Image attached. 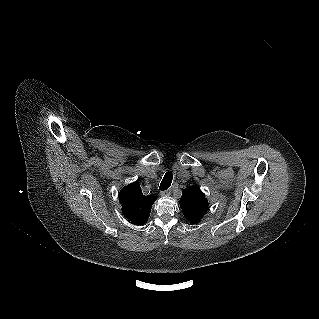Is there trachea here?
Listing matches in <instances>:
<instances>
[{"label": "trachea", "mask_w": 319, "mask_h": 319, "mask_svg": "<svg viewBox=\"0 0 319 319\" xmlns=\"http://www.w3.org/2000/svg\"><path fill=\"white\" fill-rule=\"evenodd\" d=\"M173 175L171 172H167L160 184V190L165 191L167 190L171 183H172Z\"/></svg>", "instance_id": "obj_1"}]
</instances>
